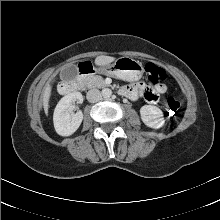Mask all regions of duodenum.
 Segmentation results:
<instances>
[{
  "mask_svg": "<svg viewBox=\"0 0 220 220\" xmlns=\"http://www.w3.org/2000/svg\"><path fill=\"white\" fill-rule=\"evenodd\" d=\"M94 71L90 63H82L78 68V75L74 80L66 81L60 86V91L63 94H68L76 91L81 86V81L85 76L92 74Z\"/></svg>",
  "mask_w": 220,
  "mask_h": 220,
  "instance_id": "1",
  "label": "duodenum"
}]
</instances>
